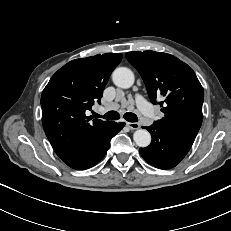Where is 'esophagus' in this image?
<instances>
[{
    "mask_svg": "<svg viewBox=\"0 0 231 231\" xmlns=\"http://www.w3.org/2000/svg\"><path fill=\"white\" fill-rule=\"evenodd\" d=\"M126 125L131 130L138 129L140 127V125L138 123H135V122H127Z\"/></svg>",
    "mask_w": 231,
    "mask_h": 231,
    "instance_id": "1",
    "label": "esophagus"
}]
</instances>
